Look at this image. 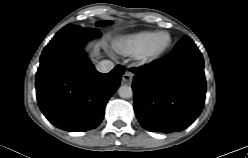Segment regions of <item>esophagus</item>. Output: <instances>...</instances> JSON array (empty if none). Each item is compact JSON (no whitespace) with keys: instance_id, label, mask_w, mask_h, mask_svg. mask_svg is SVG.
I'll return each mask as SVG.
<instances>
[{"instance_id":"1","label":"esophagus","mask_w":248,"mask_h":158,"mask_svg":"<svg viewBox=\"0 0 248 158\" xmlns=\"http://www.w3.org/2000/svg\"><path fill=\"white\" fill-rule=\"evenodd\" d=\"M134 74L131 71H125V73L122 76V82L125 84H131L133 81Z\"/></svg>"}]
</instances>
